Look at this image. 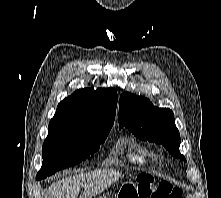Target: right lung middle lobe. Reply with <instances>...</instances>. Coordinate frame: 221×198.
I'll return each instance as SVG.
<instances>
[{
    "instance_id": "obj_1",
    "label": "right lung middle lobe",
    "mask_w": 221,
    "mask_h": 198,
    "mask_svg": "<svg viewBox=\"0 0 221 198\" xmlns=\"http://www.w3.org/2000/svg\"><path fill=\"white\" fill-rule=\"evenodd\" d=\"M110 130L106 127L86 134L48 133L42 147V167L36 180L87 159L99 149Z\"/></svg>"
}]
</instances>
